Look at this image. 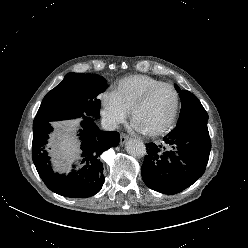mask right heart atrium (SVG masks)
<instances>
[{"instance_id": "d8ad5b80", "label": "right heart atrium", "mask_w": 248, "mask_h": 248, "mask_svg": "<svg viewBox=\"0 0 248 248\" xmlns=\"http://www.w3.org/2000/svg\"><path fill=\"white\" fill-rule=\"evenodd\" d=\"M102 115L113 126L125 122L128 112L119 104L113 93L104 92L101 97Z\"/></svg>"}]
</instances>
